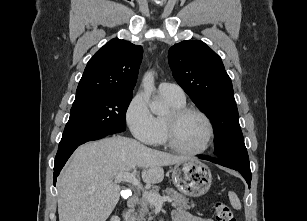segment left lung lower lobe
Wrapping results in <instances>:
<instances>
[{"instance_id": "0a47b994", "label": "left lung lower lobe", "mask_w": 307, "mask_h": 221, "mask_svg": "<svg viewBox=\"0 0 307 221\" xmlns=\"http://www.w3.org/2000/svg\"><path fill=\"white\" fill-rule=\"evenodd\" d=\"M199 159H204V160H209L213 163L234 169L238 172H240L242 174V176L245 178V180L247 181V184L249 185L250 188V184H251V170H250V164H244L241 163L239 161L233 160V159H229V158H218V159H209L207 157L204 156H199Z\"/></svg>"}]
</instances>
